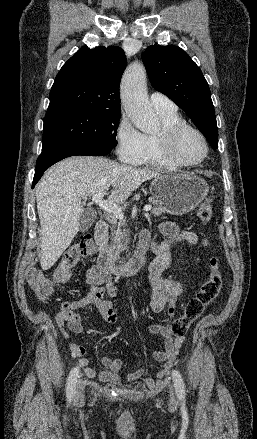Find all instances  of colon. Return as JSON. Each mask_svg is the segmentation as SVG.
<instances>
[{
	"instance_id": "5ec220e1",
	"label": "colon",
	"mask_w": 257,
	"mask_h": 439,
	"mask_svg": "<svg viewBox=\"0 0 257 439\" xmlns=\"http://www.w3.org/2000/svg\"><path fill=\"white\" fill-rule=\"evenodd\" d=\"M213 215L212 200L203 201L198 210L197 217L201 223L210 222ZM96 251L90 234H83L80 240L72 245L63 255L61 262L52 278H47L37 270H31L28 274V283L33 293L40 299L50 297L57 285L67 282L71 277V271L80 260L91 256ZM222 286L220 261L218 257L210 259V274L185 306L181 316L175 318L170 326V334L174 337L184 336L189 326L202 316L205 309L218 296Z\"/></svg>"
}]
</instances>
